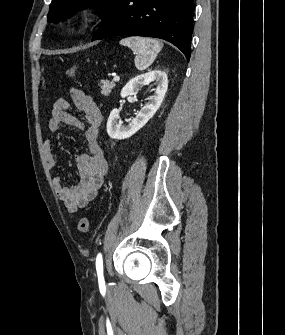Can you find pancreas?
Instances as JSON below:
<instances>
[{"mask_svg": "<svg viewBox=\"0 0 285 335\" xmlns=\"http://www.w3.org/2000/svg\"><path fill=\"white\" fill-rule=\"evenodd\" d=\"M99 86L101 88V94H104V96H109L112 88L116 86L115 82H110V80H101L99 82Z\"/></svg>", "mask_w": 285, "mask_h": 335, "instance_id": "obj_1", "label": "pancreas"}]
</instances>
